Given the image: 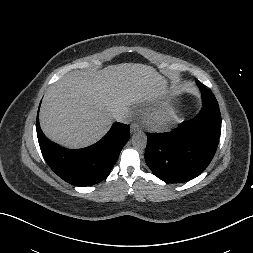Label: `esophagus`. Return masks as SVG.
Segmentation results:
<instances>
[{
  "mask_svg": "<svg viewBox=\"0 0 253 253\" xmlns=\"http://www.w3.org/2000/svg\"><path fill=\"white\" fill-rule=\"evenodd\" d=\"M140 128H139V125L136 124V123H132L131 126H130V132L131 133H134L136 131H138Z\"/></svg>",
  "mask_w": 253,
  "mask_h": 253,
  "instance_id": "obj_1",
  "label": "esophagus"
}]
</instances>
